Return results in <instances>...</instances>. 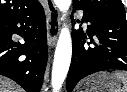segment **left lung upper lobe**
I'll return each mask as SVG.
<instances>
[{"instance_id": "5c2ea615", "label": "left lung upper lobe", "mask_w": 127, "mask_h": 92, "mask_svg": "<svg viewBox=\"0 0 127 92\" xmlns=\"http://www.w3.org/2000/svg\"><path fill=\"white\" fill-rule=\"evenodd\" d=\"M73 6L98 15L126 19L121 0H73Z\"/></svg>"}]
</instances>
